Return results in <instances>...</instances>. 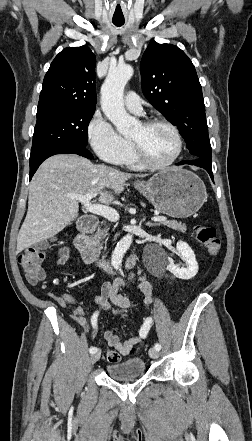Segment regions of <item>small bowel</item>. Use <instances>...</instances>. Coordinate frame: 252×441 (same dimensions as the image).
Returning a JSON list of instances; mask_svg holds the SVG:
<instances>
[{"mask_svg": "<svg viewBox=\"0 0 252 441\" xmlns=\"http://www.w3.org/2000/svg\"><path fill=\"white\" fill-rule=\"evenodd\" d=\"M69 259V254L67 249H63L60 252L59 264H65ZM130 278H119L113 282H105L101 286L100 293L95 296L94 301L100 310H108L112 306H127L131 305V300L120 293V289L125 286ZM140 290L143 292L144 304L146 307L150 306L152 303V286L150 282L142 277L139 280ZM50 297L60 306L66 307L68 305H76L77 299L69 293H63L61 295L50 294ZM70 318L77 323L79 326L84 328L88 334L93 336L95 334V329L92 323L88 322L84 309L81 306H76L71 314ZM103 338L109 347L114 348L119 354L126 355L136 345L142 343V339L139 336L129 337L122 341L115 333L108 330L104 333Z\"/></svg>", "mask_w": 252, "mask_h": 441, "instance_id": "c3829d8e", "label": "small bowel"}]
</instances>
